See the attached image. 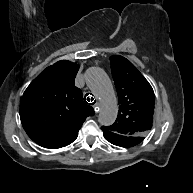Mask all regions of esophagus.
<instances>
[{
    "mask_svg": "<svg viewBox=\"0 0 193 193\" xmlns=\"http://www.w3.org/2000/svg\"><path fill=\"white\" fill-rule=\"evenodd\" d=\"M94 111H95V113H98L100 111V103L99 102L96 103V106L94 107Z\"/></svg>",
    "mask_w": 193,
    "mask_h": 193,
    "instance_id": "esophagus-1",
    "label": "esophagus"
}]
</instances>
